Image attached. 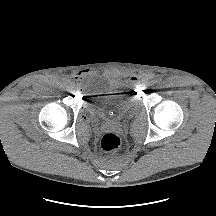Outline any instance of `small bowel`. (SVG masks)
<instances>
[{
  "mask_svg": "<svg viewBox=\"0 0 216 216\" xmlns=\"http://www.w3.org/2000/svg\"><path fill=\"white\" fill-rule=\"evenodd\" d=\"M131 79H132V80H135L136 78H135V77H131Z\"/></svg>",
  "mask_w": 216,
  "mask_h": 216,
  "instance_id": "obj_1",
  "label": "small bowel"
}]
</instances>
